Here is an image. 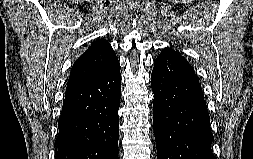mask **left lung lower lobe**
Returning a JSON list of instances; mask_svg holds the SVG:
<instances>
[{
	"label": "left lung lower lobe",
	"mask_w": 253,
	"mask_h": 159,
	"mask_svg": "<svg viewBox=\"0 0 253 159\" xmlns=\"http://www.w3.org/2000/svg\"><path fill=\"white\" fill-rule=\"evenodd\" d=\"M157 159H216L200 83L187 60L163 50L151 75Z\"/></svg>",
	"instance_id": "0a47b994"
}]
</instances>
